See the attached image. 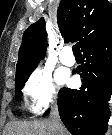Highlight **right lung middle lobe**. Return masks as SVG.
<instances>
[{
    "label": "right lung middle lobe",
    "mask_w": 112,
    "mask_h": 135,
    "mask_svg": "<svg viewBox=\"0 0 112 135\" xmlns=\"http://www.w3.org/2000/svg\"><path fill=\"white\" fill-rule=\"evenodd\" d=\"M30 74L21 75L18 77H15V93L16 98H20L22 96L21 89L23 88L25 82L29 78Z\"/></svg>",
    "instance_id": "obj_1"
}]
</instances>
